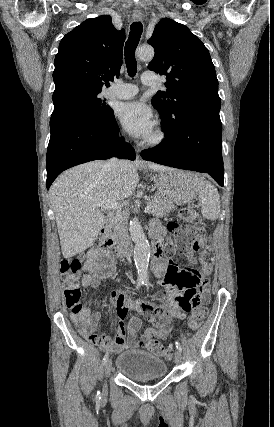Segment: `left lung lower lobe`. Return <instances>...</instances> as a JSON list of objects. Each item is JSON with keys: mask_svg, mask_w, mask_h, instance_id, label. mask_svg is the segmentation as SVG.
Returning a JSON list of instances; mask_svg holds the SVG:
<instances>
[{"mask_svg": "<svg viewBox=\"0 0 274 427\" xmlns=\"http://www.w3.org/2000/svg\"><path fill=\"white\" fill-rule=\"evenodd\" d=\"M165 134L164 142L141 152L145 160L208 173L223 186L222 124L219 117L192 115Z\"/></svg>", "mask_w": 274, "mask_h": 427, "instance_id": "obj_1", "label": "left lung lower lobe"}]
</instances>
